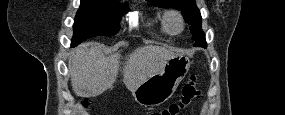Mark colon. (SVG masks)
<instances>
[{"label":"colon","instance_id":"colon-1","mask_svg":"<svg viewBox=\"0 0 285 115\" xmlns=\"http://www.w3.org/2000/svg\"><path fill=\"white\" fill-rule=\"evenodd\" d=\"M199 96V79L197 75H192L189 81L183 86L180 100L170 104L167 108L159 112L153 113V115H179L188 110Z\"/></svg>","mask_w":285,"mask_h":115}]
</instances>
